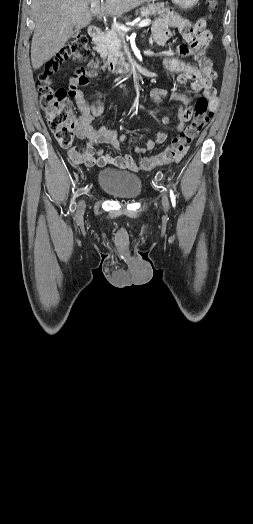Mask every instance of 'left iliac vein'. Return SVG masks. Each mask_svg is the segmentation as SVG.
I'll use <instances>...</instances> for the list:
<instances>
[{"label":"left iliac vein","mask_w":253,"mask_h":524,"mask_svg":"<svg viewBox=\"0 0 253 524\" xmlns=\"http://www.w3.org/2000/svg\"><path fill=\"white\" fill-rule=\"evenodd\" d=\"M162 205H163V208L167 211L169 208V200L166 195H163L162 197Z\"/></svg>","instance_id":"left-iliac-vein-1"}]
</instances>
